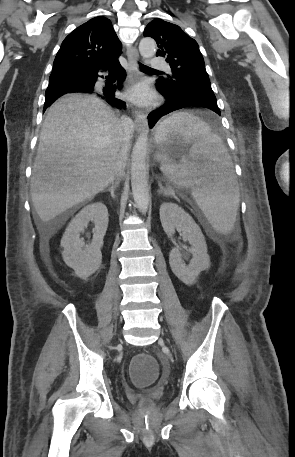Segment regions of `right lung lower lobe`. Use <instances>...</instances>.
<instances>
[{"instance_id": "obj_1", "label": "right lung lower lobe", "mask_w": 295, "mask_h": 457, "mask_svg": "<svg viewBox=\"0 0 295 457\" xmlns=\"http://www.w3.org/2000/svg\"><path fill=\"white\" fill-rule=\"evenodd\" d=\"M118 57L119 56L105 62L94 70L81 75H75L67 78L63 76L50 77L49 86L46 91H51L52 94L50 96L45 95L46 101L44 105V111L53 101L58 99L60 96L64 95L65 93L74 92L93 93L104 99L113 107L118 109L125 108V102L115 96V92L122 88L120 82L123 81L126 76L125 70L120 65ZM99 71H108L109 74L114 76V80L117 78L118 84L112 85L107 83V85L103 88L95 86L96 79L99 76Z\"/></svg>"}]
</instances>
